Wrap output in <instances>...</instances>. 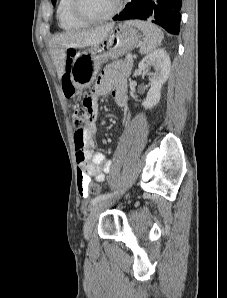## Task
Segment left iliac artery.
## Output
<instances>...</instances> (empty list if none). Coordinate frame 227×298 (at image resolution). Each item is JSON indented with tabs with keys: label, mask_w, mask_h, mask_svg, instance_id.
Returning <instances> with one entry per match:
<instances>
[{
	"label": "left iliac artery",
	"mask_w": 227,
	"mask_h": 298,
	"mask_svg": "<svg viewBox=\"0 0 227 298\" xmlns=\"http://www.w3.org/2000/svg\"><path fill=\"white\" fill-rule=\"evenodd\" d=\"M115 194V193H114ZM113 196V193H108V194H101L96 196L92 201L91 204L94 206L95 204H97L99 201L105 200L107 198H110Z\"/></svg>",
	"instance_id": "44dca946"
}]
</instances>
